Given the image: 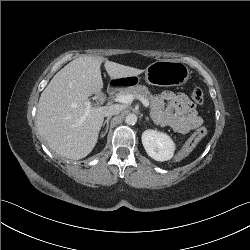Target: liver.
I'll list each match as a JSON object with an SVG mask.
<instances>
[{
	"mask_svg": "<svg viewBox=\"0 0 250 250\" xmlns=\"http://www.w3.org/2000/svg\"><path fill=\"white\" fill-rule=\"evenodd\" d=\"M111 79L138 76L143 70L105 60L81 56L57 72L43 90L37 109V127L49 147L74 160L86 157L94 148L108 106L91 107L86 102L103 88L101 64Z\"/></svg>",
	"mask_w": 250,
	"mask_h": 250,
	"instance_id": "6515ba94",
	"label": "liver"
}]
</instances>
